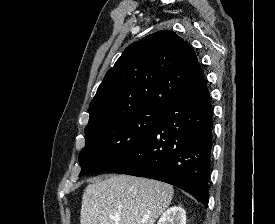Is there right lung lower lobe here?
<instances>
[{
  "label": "right lung lower lobe",
  "mask_w": 275,
  "mask_h": 224,
  "mask_svg": "<svg viewBox=\"0 0 275 224\" xmlns=\"http://www.w3.org/2000/svg\"><path fill=\"white\" fill-rule=\"evenodd\" d=\"M212 106L202 76L168 106L138 146L107 171L156 179L192 194L208 205L212 148Z\"/></svg>",
  "instance_id": "obj_1"
}]
</instances>
